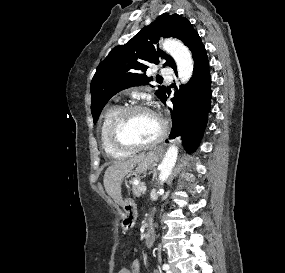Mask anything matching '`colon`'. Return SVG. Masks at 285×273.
Here are the masks:
<instances>
[{"label":"colon","instance_id":"obj_1","mask_svg":"<svg viewBox=\"0 0 285 273\" xmlns=\"http://www.w3.org/2000/svg\"><path fill=\"white\" fill-rule=\"evenodd\" d=\"M124 272H125V268L124 267L120 268L119 271H118V273H124Z\"/></svg>","mask_w":285,"mask_h":273}]
</instances>
